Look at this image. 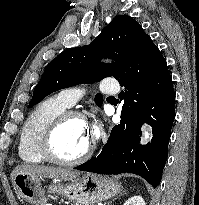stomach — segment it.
Listing matches in <instances>:
<instances>
[{
    "instance_id": "stomach-1",
    "label": "stomach",
    "mask_w": 199,
    "mask_h": 205,
    "mask_svg": "<svg viewBox=\"0 0 199 205\" xmlns=\"http://www.w3.org/2000/svg\"><path fill=\"white\" fill-rule=\"evenodd\" d=\"M42 177L19 172L13 183L17 194L32 205H49V198H61L76 205H94L95 202L114 197L121 189L113 177L85 174L69 181L54 179L43 185Z\"/></svg>"
}]
</instances>
